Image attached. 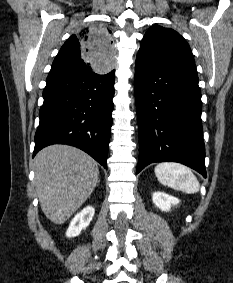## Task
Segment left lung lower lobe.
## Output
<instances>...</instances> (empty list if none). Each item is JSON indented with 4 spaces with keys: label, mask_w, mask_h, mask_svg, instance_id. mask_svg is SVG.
<instances>
[{
    "label": "left lung lower lobe",
    "mask_w": 233,
    "mask_h": 283,
    "mask_svg": "<svg viewBox=\"0 0 233 283\" xmlns=\"http://www.w3.org/2000/svg\"><path fill=\"white\" fill-rule=\"evenodd\" d=\"M134 82L140 149L137 173L153 162H179L206 177L195 63L138 53Z\"/></svg>",
    "instance_id": "left-lung-lower-lobe-1"
}]
</instances>
